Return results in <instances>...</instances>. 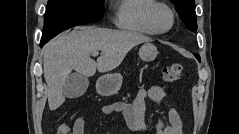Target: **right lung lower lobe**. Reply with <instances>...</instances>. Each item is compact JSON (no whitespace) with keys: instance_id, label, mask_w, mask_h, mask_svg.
I'll list each match as a JSON object with an SVG mask.
<instances>
[{"instance_id":"right-lung-lower-lobe-1","label":"right lung lower lobe","mask_w":239,"mask_h":134,"mask_svg":"<svg viewBox=\"0 0 239 134\" xmlns=\"http://www.w3.org/2000/svg\"><path fill=\"white\" fill-rule=\"evenodd\" d=\"M50 39H51V37L42 38V39H41V42H40V47H43V45H44L45 43H47Z\"/></svg>"}]
</instances>
